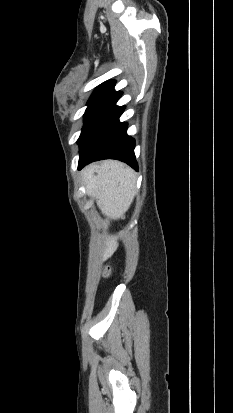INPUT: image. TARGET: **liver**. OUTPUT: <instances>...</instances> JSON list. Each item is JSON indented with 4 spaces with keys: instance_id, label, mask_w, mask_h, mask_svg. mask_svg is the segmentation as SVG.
<instances>
[{
    "instance_id": "6515ba94",
    "label": "liver",
    "mask_w": 233,
    "mask_h": 413,
    "mask_svg": "<svg viewBox=\"0 0 233 413\" xmlns=\"http://www.w3.org/2000/svg\"><path fill=\"white\" fill-rule=\"evenodd\" d=\"M87 194L96 198L104 216L117 220L124 217L136 194V176L126 164L117 160H103L83 170ZM118 247L117 238L107 236L102 260L105 261Z\"/></svg>"
}]
</instances>
